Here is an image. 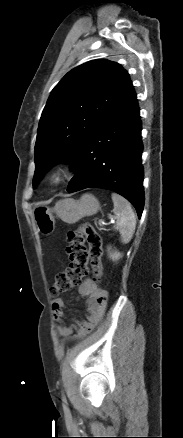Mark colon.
<instances>
[{"label": "colon", "instance_id": "1", "mask_svg": "<svg viewBox=\"0 0 183 438\" xmlns=\"http://www.w3.org/2000/svg\"><path fill=\"white\" fill-rule=\"evenodd\" d=\"M67 253L69 267L55 276L50 288L54 296L66 293L79 284L89 274V263L96 283L101 276V238L90 224H82L68 233Z\"/></svg>", "mask_w": 183, "mask_h": 438}]
</instances>
